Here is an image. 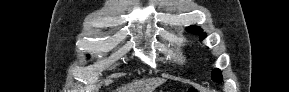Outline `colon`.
<instances>
[{"instance_id": "1", "label": "colon", "mask_w": 289, "mask_h": 92, "mask_svg": "<svg viewBox=\"0 0 289 92\" xmlns=\"http://www.w3.org/2000/svg\"><path fill=\"white\" fill-rule=\"evenodd\" d=\"M187 92H197V90L195 88H189Z\"/></svg>"}]
</instances>
